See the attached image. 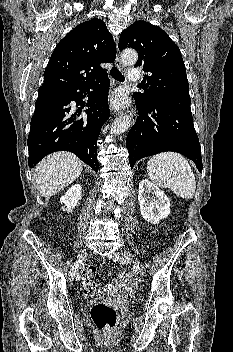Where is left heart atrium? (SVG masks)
Wrapping results in <instances>:
<instances>
[{
    "label": "left heart atrium",
    "mask_w": 233,
    "mask_h": 352,
    "mask_svg": "<svg viewBox=\"0 0 233 352\" xmlns=\"http://www.w3.org/2000/svg\"><path fill=\"white\" fill-rule=\"evenodd\" d=\"M116 102L121 104L123 103V97L122 96H118V98L116 99Z\"/></svg>",
    "instance_id": "39dd6f15"
}]
</instances>
